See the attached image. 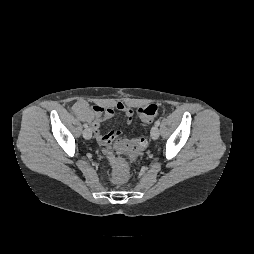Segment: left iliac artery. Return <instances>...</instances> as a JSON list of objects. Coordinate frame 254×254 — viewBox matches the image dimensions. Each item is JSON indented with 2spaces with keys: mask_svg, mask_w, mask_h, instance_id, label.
Here are the masks:
<instances>
[{
  "mask_svg": "<svg viewBox=\"0 0 254 254\" xmlns=\"http://www.w3.org/2000/svg\"><path fill=\"white\" fill-rule=\"evenodd\" d=\"M155 125H156V126H159V125H160V120H159V119L155 122Z\"/></svg>",
  "mask_w": 254,
  "mask_h": 254,
  "instance_id": "44dca946",
  "label": "left iliac artery"
}]
</instances>
